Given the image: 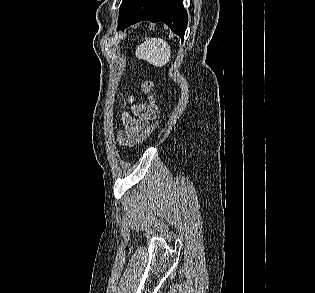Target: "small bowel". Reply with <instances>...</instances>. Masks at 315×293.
<instances>
[{"label": "small bowel", "mask_w": 315, "mask_h": 293, "mask_svg": "<svg viewBox=\"0 0 315 293\" xmlns=\"http://www.w3.org/2000/svg\"><path fill=\"white\" fill-rule=\"evenodd\" d=\"M133 114L122 116L124 129L118 134V143L123 146H131L140 142L144 138L145 131L149 126V119L153 118L152 111L145 104H136L133 106Z\"/></svg>", "instance_id": "obj_1"}]
</instances>
